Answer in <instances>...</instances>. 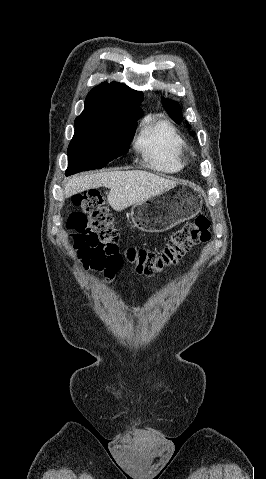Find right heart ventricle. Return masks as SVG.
I'll return each mask as SVG.
<instances>
[{"label":"right heart ventricle","instance_id":"1","mask_svg":"<svg viewBox=\"0 0 266 479\" xmlns=\"http://www.w3.org/2000/svg\"><path fill=\"white\" fill-rule=\"evenodd\" d=\"M135 149L147 167L160 173L179 172L188 161L185 140L163 119L145 123L136 138Z\"/></svg>","mask_w":266,"mask_h":479}]
</instances>
